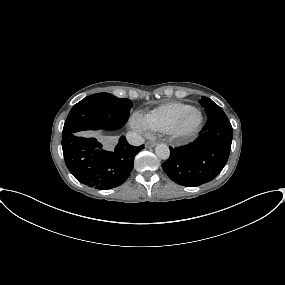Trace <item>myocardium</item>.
Masks as SVG:
<instances>
[{
	"instance_id": "myocardium-1",
	"label": "myocardium",
	"mask_w": 285,
	"mask_h": 285,
	"mask_svg": "<svg viewBox=\"0 0 285 285\" xmlns=\"http://www.w3.org/2000/svg\"><path fill=\"white\" fill-rule=\"evenodd\" d=\"M192 112L197 113L198 120H197V123L193 127L188 128L186 127V122H187L188 116ZM202 121H203L202 112L195 107H191L181 114V116L178 118L176 123L170 129L169 134L174 138L189 137L195 134L200 129Z\"/></svg>"
}]
</instances>
